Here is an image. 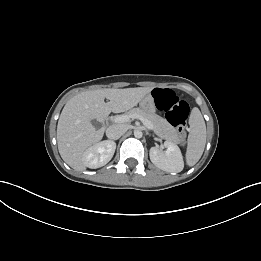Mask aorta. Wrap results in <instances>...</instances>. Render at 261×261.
Returning a JSON list of instances; mask_svg holds the SVG:
<instances>
[{
	"label": "aorta",
	"mask_w": 261,
	"mask_h": 261,
	"mask_svg": "<svg viewBox=\"0 0 261 261\" xmlns=\"http://www.w3.org/2000/svg\"><path fill=\"white\" fill-rule=\"evenodd\" d=\"M142 135H143V133H142L141 130H138V129H137V130L134 131V136H135L136 138H141Z\"/></svg>",
	"instance_id": "1"
}]
</instances>
